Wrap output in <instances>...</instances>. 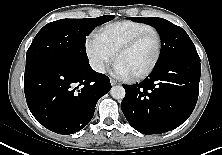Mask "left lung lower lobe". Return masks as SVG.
I'll return each mask as SVG.
<instances>
[{"label":"left lung lower lobe","instance_id":"0a47b994","mask_svg":"<svg viewBox=\"0 0 222 155\" xmlns=\"http://www.w3.org/2000/svg\"><path fill=\"white\" fill-rule=\"evenodd\" d=\"M200 72V61L177 59L155 66L138 84L123 85L121 109L129 124L146 135L180 126L195 108Z\"/></svg>","mask_w":222,"mask_h":155}]
</instances>
